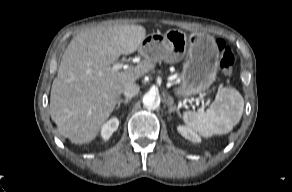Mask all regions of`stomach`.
<instances>
[{
    "mask_svg": "<svg viewBox=\"0 0 292 192\" xmlns=\"http://www.w3.org/2000/svg\"><path fill=\"white\" fill-rule=\"evenodd\" d=\"M140 54L149 62L183 63L180 86L175 94L190 97L206 91L216 80L219 51L215 39L204 33L189 37L180 30H168L147 35L139 47Z\"/></svg>",
    "mask_w": 292,
    "mask_h": 192,
    "instance_id": "obj_1",
    "label": "stomach"
}]
</instances>
